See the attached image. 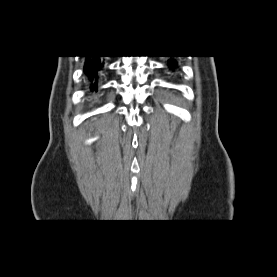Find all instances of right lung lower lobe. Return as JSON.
Instances as JSON below:
<instances>
[{
  "label": "right lung lower lobe",
  "mask_w": 277,
  "mask_h": 277,
  "mask_svg": "<svg viewBox=\"0 0 277 277\" xmlns=\"http://www.w3.org/2000/svg\"><path fill=\"white\" fill-rule=\"evenodd\" d=\"M92 57V59H87L85 66H84V70L86 72V74L90 77L91 80H93V78L97 77V72L99 71L100 66H102L101 60L99 58V56H89ZM91 90H97V85L94 84L91 86Z\"/></svg>",
  "instance_id": "1"
}]
</instances>
